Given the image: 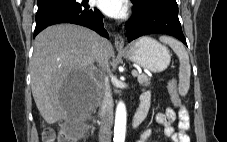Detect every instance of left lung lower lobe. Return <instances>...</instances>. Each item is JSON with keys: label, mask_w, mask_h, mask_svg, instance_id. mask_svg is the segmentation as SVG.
I'll list each match as a JSON object with an SVG mask.
<instances>
[{"label": "left lung lower lobe", "mask_w": 227, "mask_h": 142, "mask_svg": "<svg viewBox=\"0 0 227 142\" xmlns=\"http://www.w3.org/2000/svg\"><path fill=\"white\" fill-rule=\"evenodd\" d=\"M125 30L128 42L143 35L162 33L174 36L186 44L178 9L160 3H151L144 8L134 7Z\"/></svg>", "instance_id": "left-lung-lower-lobe-1"}]
</instances>
